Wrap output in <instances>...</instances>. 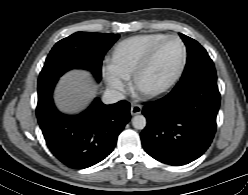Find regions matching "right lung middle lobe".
<instances>
[{"instance_id":"1","label":"right lung middle lobe","mask_w":248,"mask_h":195,"mask_svg":"<svg viewBox=\"0 0 248 195\" xmlns=\"http://www.w3.org/2000/svg\"><path fill=\"white\" fill-rule=\"evenodd\" d=\"M118 37V34L76 32L60 40L46 59L38 86L77 68L89 70L99 81L104 54Z\"/></svg>"}]
</instances>
